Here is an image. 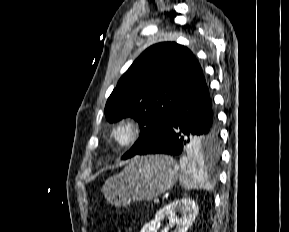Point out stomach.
<instances>
[{
    "label": "stomach",
    "instance_id": "1",
    "mask_svg": "<svg viewBox=\"0 0 289 232\" xmlns=\"http://www.w3.org/2000/svg\"><path fill=\"white\" fill-rule=\"evenodd\" d=\"M179 166L169 156L137 157L118 175L110 177L103 186L107 201L117 207L134 201H149L173 187Z\"/></svg>",
    "mask_w": 289,
    "mask_h": 232
}]
</instances>
